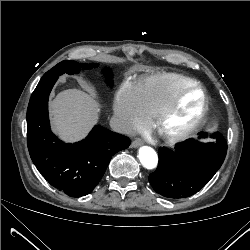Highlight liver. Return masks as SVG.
I'll use <instances>...</instances> for the list:
<instances>
[{
	"label": "liver",
	"mask_w": 250,
	"mask_h": 250,
	"mask_svg": "<svg viewBox=\"0 0 250 250\" xmlns=\"http://www.w3.org/2000/svg\"><path fill=\"white\" fill-rule=\"evenodd\" d=\"M98 102L89 94L67 89L50 103L54 130L66 141H76L86 135L99 113Z\"/></svg>",
	"instance_id": "1"
}]
</instances>
